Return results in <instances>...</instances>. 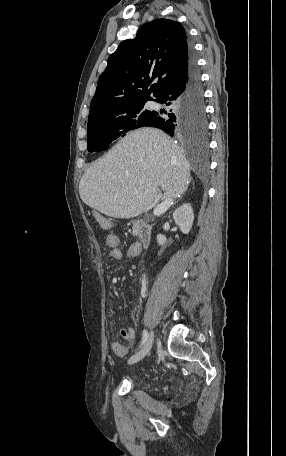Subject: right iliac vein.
<instances>
[{"mask_svg": "<svg viewBox=\"0 0 286 456\" xmlns=\"http://www.w3.org/2000/svg\"><path fill=\"white\" fill-rule=\"evenodd\" d=\"M153 337H154V334H153V332H151L150 336L147 339V341H146L145 345L143 346V348L140 351H138L136 354H134L128 360V364H134V363L140 361L141 359H143L149 353V351H150V349L152 347Z\"/></svg>", "mask_w": 286, "mask_h": 456, "instance_id": "1", "label": "right iliac vein"}]
</instances>
